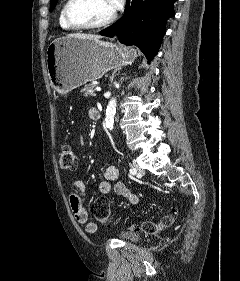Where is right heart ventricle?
<instances>
[{"instance_id": "obj_1", "label": "right heart ventricle", "mask_w": 240, "mask_h": 281, "mask_svg": "<svg viewBox=\"0 0 240 281\" xmlns=\"http://www.w3.org/2000/svg\"><path fill=\"white\" fill-rule=\"evenodd\" d=\"M64 5H65V4H64ZM64 5L62 6L61 11H60V14H59V24H60V26H61L64 30H72L73 28L70 27V26L65 22V19H64V15H63V8H64Z\"/></svg>"}]
</instances>
